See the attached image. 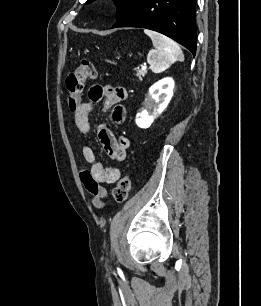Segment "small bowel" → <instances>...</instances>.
<instances>
[{"mask_svg":"<svg viewBox=\"0 0 261 306\" xmlns=\"http://www.w3.org/2000/svg\"><path fill=\"white\" fill-rule=\"evenodd\" d=\"M88 97V101L80 103L74 110V122L81 135L85 137L90 135L89 116L94 103L102 98L104 99L103 109L105 111L112 109L113 122L115 124L124 122L126 111L121 103L127 98L125 88L111 85H94L89 89ZM97 136L112 160L119 162L126 158L130 147V140L126 136L115 137L103 125L98 127ZM81 151L84 159L80 173L81 181L87 192L92 196L94 206L100 208L107 197V191L102 185L114 183L120 176V169L118 167H103L94 150L85 143L81 144Z\"/></svg>","mask_w":261,"mask_h":306,"instance_id":"obj_1","label":"small bowel"}]
</instances>
